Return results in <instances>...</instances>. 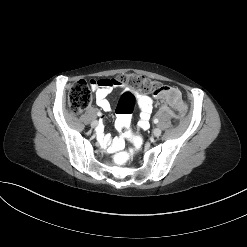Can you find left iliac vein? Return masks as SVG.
Returning <instances> with one entry per match:
<instances>
[{"label":"left iliac vein","instance_id":"obj_1","mask_svg":"<svg viewBox=\"0 0 247 247\" xmlns=\"http://www.w3.org/2000/svg\"><path fill=\"white\" fill-rule=\"evenodd\" d=\"M153 135H154L155 137H159V136L161 135V130H160L159 128H155V129L153 130Z\"/></svg>","mask_w":247,"mask_h":247}]
</instances>
